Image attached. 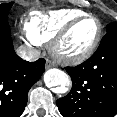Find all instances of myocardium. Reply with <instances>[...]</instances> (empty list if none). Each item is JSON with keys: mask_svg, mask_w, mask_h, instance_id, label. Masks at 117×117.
I'll return each mask as SVG.
<instances>
[{"mask_svg": "<svg viewBox=\"0 0 117 117\" xmlns=\"http://www.w3.org/2000/svg\"><path fill=\"white\" fill-rule=\"evenodd\" d=\"M92 19L97 23V32L90 46L81 53L71 54L64 50L63 45L72 31L85 20ZM102 23L93 15H82L69 22L51 41L50 51L61 62L79 64L89 59L97 50L102 38Z\"/></svg>", "mask_w": 117, "mask_h": 117, "instance_id": "obj_1", "label": "myocardium"}]
</instances>
